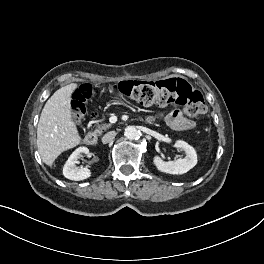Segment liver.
Returning <instances> with one entry per match:
<instances>
[{
	"label": "liver",
	"mask_w": 264,
	"mask_h": 264,
	"mask_svg": "<svg viewBox=\"0 0 264 264\" xmlns=\"http://www.w3.org/2000/svg\"><path fill=\"white\" fill-rule=\"evenodd\" d=\"M78 84L58 89L46 102L37 128V147L42 161L52 166L64 151L80 143V135L71 115V95Z\"/></svg>",
	"instance_id": "liver-1"
}]
</instances>
